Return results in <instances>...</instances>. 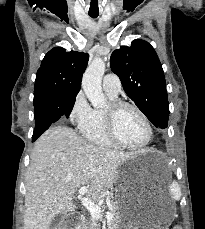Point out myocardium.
Instances as JSON below:
<instances>
[{"label":"myocardium","instance_id":"obj_1","mask_svg":"<svg viewBox=\"0 0 205 229\" xmlns=\"http://www.w3.org/2000/svg\"><path fill=\"white\" fill-rule=\"evenodd\" d=\"M125 108H130L134 110L140 116V118L143 120L146 126L147 136L146 139L140 144L137 145L126 144L123 141H121L117 135V131H116L117 115L121 110ZM103 114H104V124H105V131L107 137L114 146L124 148V149H129V150H139V149H143L151 142L153 138L152 124L149 118L146 116V114L135 104H132L127 101L115 100L110 102L108 107L103 111Z\"/></svg>","mask_w":205,"mask_h":229}]
</instances>
